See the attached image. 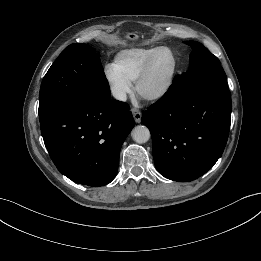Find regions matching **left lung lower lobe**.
I'll list each match as a JSON object with an SVG mask.
<instances>
[{
    "label": "left lung lower lobe",
    "mask_w": 261,
    "mask_h": 261,
    "mask_svg": "<svg viewBox=\"0 0 261 261\" xmlns=\"http://www.w3.org/2000/svg\"><path fill=\"white\" fill-rule=\"evenodd\" d=\"M230 118L231 94L226 79L206 80L184 98L171 86L142 115L152 136L157 170L178 182L205 174L224 151Z\"/></svg>",
    "instance_id": "0a47b994"
}]
</instances>
